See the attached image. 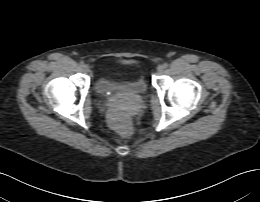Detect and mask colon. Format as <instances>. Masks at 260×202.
I'll return each instance as SVG.
<instances>
[{
    "instance_id": "1",
    "label": "colon",
    "mask_w": 260,
    "mask_h": 202,
    "mask_svg": "<svg viewBox=\"0 0 260 202\" xmlns=\"http://www.w3.org/2000/svg\"><path fill=\"white\" fill-rule=\"evenodd\" d=\"M111 125L118 130L119 132L127 135L126 126H127V118L125 114L122 112H112L109 116Z\"/></svg>"
}]
</instances>
